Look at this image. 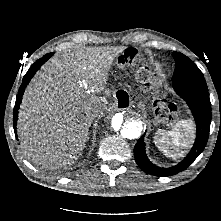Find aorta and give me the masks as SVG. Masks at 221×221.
I'll return each mask as SVG.
<instances>
[{
  "mask_svg": "<svg viewBox=\"0 0 221 221\" xmlns=\"http://www.w3.org/2000/svg\"><path fill=\"white\" fill-rule=\"evenodd\" d=\"M113 132L122 139H136L140 137L144 123L136 114L117 113L111 121Z\"/></svg>",
  "mask_w": 221,
  "mask_h": 221,
  "instance_id": "762f6f07",
  "label": "aorta"
}]
</instances>
